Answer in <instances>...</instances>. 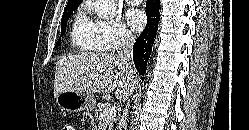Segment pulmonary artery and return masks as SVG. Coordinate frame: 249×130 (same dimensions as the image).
Listing matches in <instances>:
<instances>
[{
  "mask_svg": "<svg viewBox=\"0 0 249 130\" xmlns=\"http://www.w3.org/2000/svg\"><path fill=\"white\" fill-rule=\"evenodd\" d=\"M126 1L131 5H137L142 2V0H126Z\"/></svg>",
  "mask_w": 249,
  "mask_h": 130,
  "instance_id": "1",
  "label": "pulmonary artery"
}]
</instances>
